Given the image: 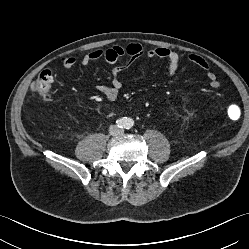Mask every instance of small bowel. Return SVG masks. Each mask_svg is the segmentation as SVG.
<instances>
[{
  "label": "small bowel",
  "instance_id": "obj_1",
  "mask_svg": "<svg viewBox=\"0 0 249 249\" xmlns=\"http://www.w3.org/2000/svg\"><path fill=\"white\" fill-rule=\"evenodd\" d=\"M122 57L127 58L126 62L116 65ZM141 57L166 61V75L168 77H173L179 68L182 58L185 57V55L167 47H156L146 50L140 43H131L127 46H112L105 50L99 48L92 49L80 59V63L82 65H88L91 62L104 59L107 63L115 65L111 72V84H101L96 87L97 91L105 98L110 101H115L120 96L122 89V82L120 80L121 74L135 60ZM187 59L202 70L207 71V78L212 88L216 89L220 86V81L217 75L209 70V65L204 58L192 53L187 55ZM77 63L78 59L73 56L65 57L61 60V64L65 69H71Z\"/></svg>",
  "mask_w": 249,
  "mask_h": 249
}]
</instances>
